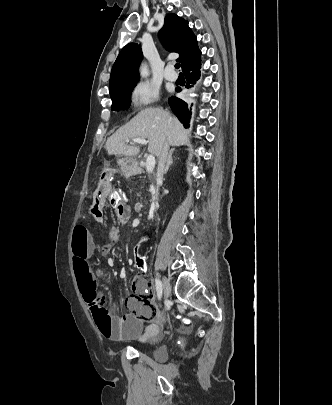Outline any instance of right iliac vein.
Returning <instances> with one entry per match:
<instances>
[{"label": "right iliac vein", "mask_w": 332, "mask_h": 405, "mask_svg": "<svg viewBox=\"0 0 332 405\" xmlns=\"http://www.w3.org/2000/svg\"><path fill=\"white\" fill-rule=\"evenodd\" d=\"M162 288H163L164 297L167 298L169 296L171 287H170L169 280L165 277L162 279Z\"/></svg>", "instance_id": "obj_1"}]
</instances>
